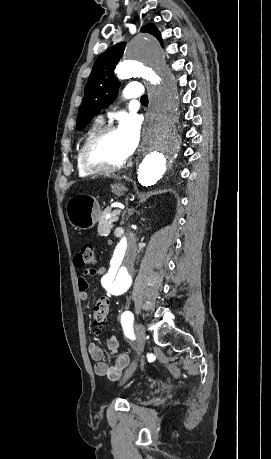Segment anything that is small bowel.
Instances as JSON below:
<instances>
[{
    "instance_id": "1",
    "label": "small bowel",
    "mask_w": 271,
    "mask_h": 459,
    "mask_svg": "<svg viewBox=\"0 0 271 459\" xmlns=\"http://www.w3.org/2000/svg\"><path fill=\"white\" fill-rule=\"evenodd\" d=\"M102 272V268L88 269L78 278L77 285L81 301L88 300L89 277L100 275ZM88 352L91 359L95 361V373L98 376L108 378L111 381H117L129 365V357L119 351V342L113 335H111L107 340V354L114 358L113 365H108L104 361L105 352L98 345L91 343L88 346Z\"/></svg>"
}]
</instances>
